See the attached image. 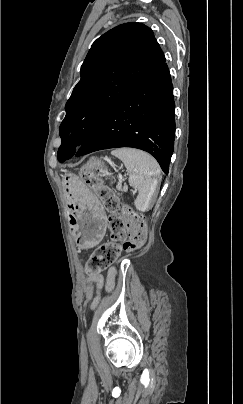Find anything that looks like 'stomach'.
Listing matches in <instances>:
<instances>
[{
  "label": "stomach",
  "mask_w": 243,
  "mask_h": 404,
  "mask_svg": "<svg viewBox=\"0 0 243 404\" xmlns=\"http://www.w3.org/2000/svg\"><path fill=\"white\" fill-rule=\"evenodd\" d=\"M109 174L108 167H100V176ZM63 184L69 203V224L74 239L81 248H92L102 240L105 234V210L79 177L67 174L63 178Z\"/></svg>",
  "instance_id": "obj_1"
}]
</instances>
